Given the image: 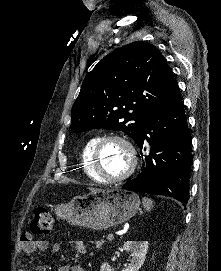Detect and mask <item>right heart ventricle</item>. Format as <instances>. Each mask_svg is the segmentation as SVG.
I'll return each instance as SVG.
<instances>
[{
    "label": "right heart ventricle",
    "instance_id": "obj_1",
    "mask_svg": "<svg viewBox=\"0 0 221 271\" xmlns=\"http://www.w3.org/2000/svg\"><path fill=\"white\" fill-rule=\"evenodd\" d=\"M96 137L97 135H90L85 139L81 147L80 161L85 169V176H92L98 183H107V178H103L102 174L95 171V167H98L99 164L96 162V158H93L91 150L96 147V144H92Z\"/></svg>",
    "mask_w": 221,
    "mask_h": 271
}]
</instances>
